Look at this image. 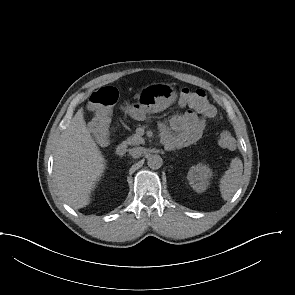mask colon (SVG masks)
Instances as JSON below:
<instances>
[{
    "label": "colon",
    "mask_w": 295,
    "mask_h": 295,
    "mask_svg": "<svg viewBox=\"0 0 295 295\" xmlns=\"http://www.w3.org/2000/svg\"><path fill=\"white\" fill-rule=\"evenodd\" d=\"M178 98L181 103L188 105L206 118H216V108L203 90L198 89L192 91L185 87H179ZM117 99L118 91L114 87H103L94 92L89 98L88 107L94 113L91 128L99 144H105L107 142L111 109ZM218 144L227 150H233L236 147L234 137L227 130L220 132Z\"/></svg>",
    "instance_id": "obj_1"
}]
</instances>
